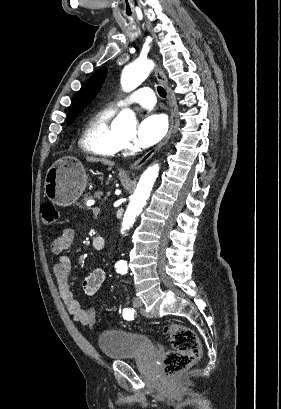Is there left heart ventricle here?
<instances>
[{"label":"left heart ventricle","instance_id":"b2bd125f","mask_svg":"<svg viewBox=\"0 0 281 409\" xmlns=\"http://www.w3.org/2000/svg\"><path fill=\"white\" fill-rule=\"evenodd\" d=\"M116 132L122 137L124 138L126 141H128L129 143H131L134 139L136 130H116Z\"/></svg>","mask_w":281,"mask_h":409}]
</instances>
